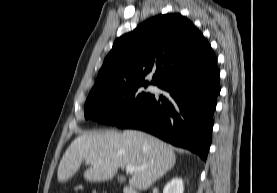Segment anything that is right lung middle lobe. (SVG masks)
<instances>
[{"instance_id":"dd1d6c3e","label":"right lung middle lobe","mask_w":277,"mask_h":193,"mask_svg":"<svg viewBox=\"0 0 277 193\" xmlns=\"http://www.w3.org/2000/svg\"><path fill=\"white\" fill-rule=\"evenodd\" d=\"M142 86L147 85L90 93L84 106L85 119L118 125L152 98L142 90Z\"/></svg>"}]
</instances>
